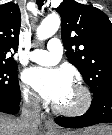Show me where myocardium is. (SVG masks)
Instances as JSON below:
<instances>
[{
	"label": "myocardium",
	"mask_w": 112,
	"mask_h": 135,
	"mask_svg": "<svg viewBox=\"0 0 112 135\" xmlns=\"http://www.w3.org/2000/svg\"><path fill=\"white\" fill-rule=\"evenodd\" d=\"M74 88L82 94V103L75 108H65L60 106L59 104H55L54 109L58 113L69 117H77L84 115L91 108L92 95L90 90L86 86L78 83L74 85Z\"/></svg>",
	"instance_id": "obj_1"
}]
</instances>
